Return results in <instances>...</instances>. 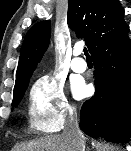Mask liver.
<instances>
[{"instance_id": "6515ba94", "label": "liver", "mask_w": 131, "mask_h": 151, "mask_svg": "<svg viewBox=\"0 0 131 151\" xmlns=\"http://www.w3.org/2000/svg\"><path fill=\"white\" fill-rule=\"evenodd\" d=\"M73 145L62 135H50L16 145L13 151H73Z\"/></svg>"}]
</instances>
